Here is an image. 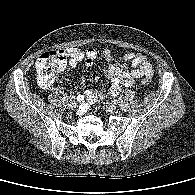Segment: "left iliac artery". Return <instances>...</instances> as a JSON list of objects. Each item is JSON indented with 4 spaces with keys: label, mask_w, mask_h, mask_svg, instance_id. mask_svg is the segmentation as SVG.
Listing matches in <instances>:
<instances>
[{
    "label": "left iliac artery",
    "mask_w": 195,
    "mask_h": 195,
    "mask_svg": "<svg viewBox=\"0 0 195 195\" xmlns=\"http://www.w3.org/2000/svg\"><path fill=\"white\" fill-rule=\"evenodd\" d=\"M112 102H113L114 104H116V103L118 102V100H117V99H114Z\"/></svg>",
    "instance_id": "left-iliac-artery-1"
}]
</instances>
